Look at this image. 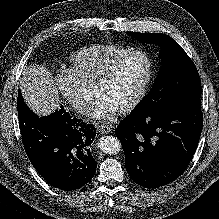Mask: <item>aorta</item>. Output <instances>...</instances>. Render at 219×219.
<instances>
[{"label": "aorta", "mask_w": 219, "mask_h": 219, "mask_svg": "<svg viewBox=\"0 0 219 219\" xmlns=\"http://www.w3.org/2000/svg\"><path fill=\"white\" fill-rule=\"evenodd\" d=\"M98 147L106 154H117L121 150V142L114 136H104L99 139Z\"/></svg>", "instance_id": "obj_1"}]
</instances>
